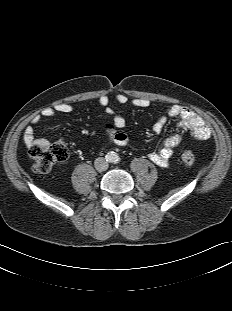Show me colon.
Masks as SVG:
<instances>
[{"instance_id":"1","label":"colon","mask_w":232,"mask_h":311,"mask_svg":"<svg viewBox=\"0 0 232 311\" xmlns=\"http://www.w3.org/2000/svg\"><path fill=\"white\" fill-rule=\"evenodd\" d=\"M29 156L33 170L37 173H47L55 164L63 162L68 157V148L63 142L38 144L31 147ZM180 158L185 166H192L195 155L189 148H182Z\"/></svg>"}]
</instances>
